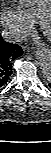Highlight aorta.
<instances>
[{"label": "aorta", "instance_id": "aorta-1", "mask_svg": "<svg viewBox=\"0 0 51 153\" xmlns=\"http://www.w3.org/2000/svg\"><path fill=\"white\" fill-rule=\"evenodd\" d=\"M37 58L45 79H51V53L47 48H42L37 52Z\"/></svg>", "mask_w": 51, "mask_h": 153}]
</instances>
